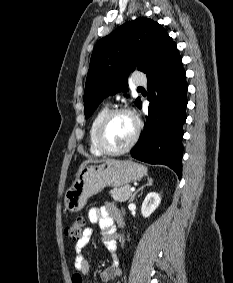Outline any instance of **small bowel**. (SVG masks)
<instances>
[{"instance_id":"1","label":"small bowel","mask_w":233,"mask_h":283,"mask_svg":"<svg viewBox=\"0 0 233 283\" xmlns=\"http://www.w3.org/2000/svg\"><path fill=\"white\" fill-rule=\"evenodd\" d=\"M88 218L91 223L98 224L102 231V236L99 240L100 243H102L109 252L114 253L117 249L115 237L116 223L121 222L119 210L114 205L107 203L100 207H92L88 212ZM92 235L93 229L86 228L76 242L74 261L75 273L72 276L73 283H84L83 275L89 270V262L83 250L89 244ZM120 275L121 269L118 260L114 258L112 265L101 273V279L103 282L108 283Z\"/></svg>"}]
</instances>
